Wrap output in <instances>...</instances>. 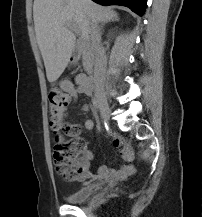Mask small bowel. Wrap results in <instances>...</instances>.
I'll list each match as a JSON object with an SVG mask.
<instances>
[{"instance_id": "c3829d8e", "label": "small bowel", "mask_w": 202, "mask_h": 217, "mask_svg": "<svg viewBox=\"0 0 202 217\" xmlns=\"http://www.w3.org/2000/svg\"><path fill=\"white\" fill-rule=\"evenodd\" d=\"M81 77H82V75H78L76 77V83H77L78 87H76L69 80H64L60 83V87L62 88V90H64L73 101H76L78 99L79 94L87 93V92H85V90L83 89V87L81 85ZM83 109L88 110L89 106L85 105V106H83ZM85 127L88 130H92L93 129V122L91 120H86L85 121ZM70 129L72 132L79 133L81 130V127L79 124H72V125H70ZM112 143H113V146L115 148H118L120 150V154H121L124 161L129 162V163L133 161L134 153L132 151L131 146L129 145V143L125 139L115 137L113 139ZM92 157H93L92 152L89 150H85L83 155H82L84 165H83V175L81 178L83 180H89V179L94 178V177L124 179V178L129 177L130 175H132L135 172L134 165L128 164V165L121 166L119 169H109L105 166H100L97 169V173L94 174L90 171V161L92 160Z\"/></svg>"}]
</instances>
